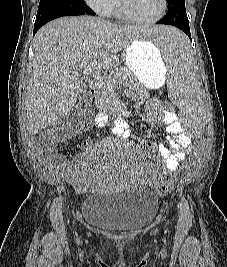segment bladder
Instances as JSON below:
<instances>
[{
	"label": "bladder",
	"instance_id": "bladder-1",
	"mask_svg": "<svg viewBox=\"0 0 227 267\" xmlns=\"http://www.w3.org/2000/svg\"><path fill=\"white\" fill-rule=\"evenodd\" d=\"M157 211V196L149 188L113 193L94 191L82 204V216L88 225L119 232L143 227Z\"/></svg>",
	"mask_w": 227,
	"mask_h": 267
}]
</instances>
